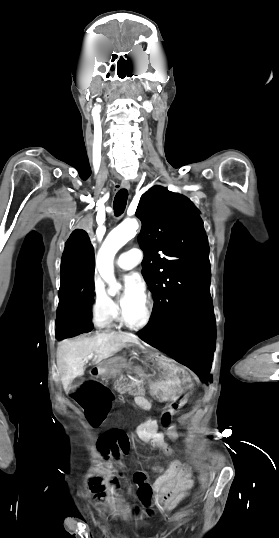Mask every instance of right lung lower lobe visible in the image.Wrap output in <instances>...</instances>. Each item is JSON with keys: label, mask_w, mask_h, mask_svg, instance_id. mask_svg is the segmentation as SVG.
I'll return each instance as SVG.
<instances>
[{"label": "right lung lower lobe", "mask_w": 279, "mask_h": 538, "mask_svg": "<svg viewBox=\"0 0 279 538\" xmlns=\"http://www.w3.org/2000/svg\"><path fill=\"white\" fill-rule=\"evenodd\" d=\"M94 249L84 230L72 232L61 260L56 338L65 339L89 332L94 290Z\"/></svg>", "instance_id": "1"}]
</instances>
